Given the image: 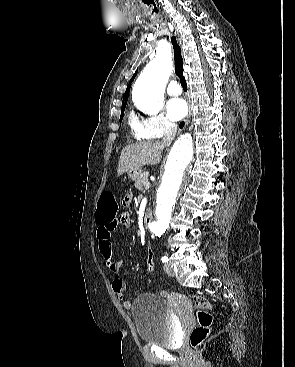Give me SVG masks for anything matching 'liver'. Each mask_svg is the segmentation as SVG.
<instances>
[{
  "mask_svg": "<svg viewBox=\"0 0 295 367\" xmlns=\"http://www.w3.org/2000/svg\"><path fill=\"white\" fill-rule=\"evenodd\" d=\"M166 146L160 141H143L124 147L118 162V176L134 168L158 164Z\"/></svg>",
  "mask_w": 295,
  "mask_h": 367,
  "instance_id": "1",
  "label": "liver"
}]
</instances>
